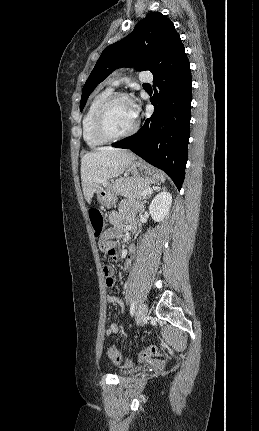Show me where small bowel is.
I'll use <instances>...</instances> for the list:
<instances>
[{
    "instance_id": "c3829d8e",
    "label": "small bowel",
    "mask_w": 259,
    "mask_h": 431,
    "mask_svg": "<svg viewBox=\"0 0 259 431\" xmlns=\"http://www.w3.org/2000/svg\"><path fill=\"white\" fill-rule=\"evenodd\" d=\"M129 217V211L127 207H122L119 211H113L109 215V222L111 227L105 232V237L111 240L114 244L121 237L123 230V222ZM124 270L130 271L132 267V260L130 255L126 257L124 262ZM105 275V285L108 288L113 287L115 277L113 276V269L110 266H105L103 269ZM107 301L109 303L118 304L121 308H124V302L114 295H108ZM121 330L120 326L116 323L111 324L107 330V335H113Z\"/></svg>"
}]
</instances>
